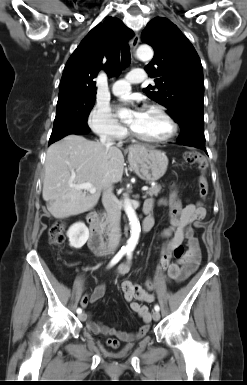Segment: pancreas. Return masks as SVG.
<instances>
[{
	"instance_id": "obj_1",
	"label": "pancreas",
	"mask_w": 247,
	"mask_h": 385,
	"mask_svg": "<svg viewBox=\"0 0 247 385\" xmlns=\"http://www.w3.org/2000/svg\"><path fill=\"white\" fill-rule=\"evenodd\" d=\"M161 189H162V187L160 185H154L146 191V195H148L150 197L158 196ZM104 224H107V220L104 222Z\"/></svg>"
}]
</instances>
